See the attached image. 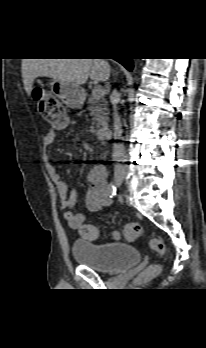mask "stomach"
<instances>
[{"label": "stomach", "mask_w": 206, "mask_h": 348, "mask_svg": "<svg viewBox=\"0 0 206 348\" xmlns=\"http://www.w3.org/2000/svg\"><path fill=\"white\" fill-rule=\"evenodd\" d=\"M48 84L52 94L58 97L66 106L73 109H80L83 106L85 93L81 86L53 78L48 81Z\"/></svg>", "instance_id": "0dacf381"}]
</instances>
